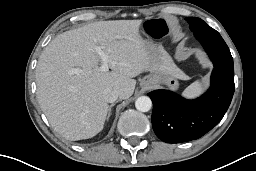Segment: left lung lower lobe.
Returning a JSON list of instances; mask_svg holds the SVG:
<instances>
[{"label": "left lung lower lobe", "mask_w": 256, "mask_h": 171, "mask_svg": "<svg viewBox=\"0 0 256 171\" xmlns=\"http://www.w3.org/2000/svg\"><path fill=\"white\" fill-rule=\"evenodd\" d=\"M194 34L214 64L209 90L195 100H186L168 90L148 93L153 102V130L166 143L203 136L221 121L234 94L233 59L225 41L219 33Z\"/></svg>", "instance_id": "0a47b994"}]
</instances>
